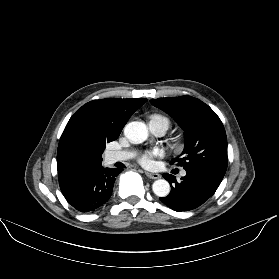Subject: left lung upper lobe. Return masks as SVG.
<instances>
[{
    "label": "left lung upper lobe",
    "instance_id": "5c2ea615",
    "mask_svg": "<svg viewBox=\"0 0 279 279\" xmlns=\"http://www.w3.org/2000/svg\"><path fill=\"white\" fill-rule=\"evenodd\" d=\"M151 104L168 113L184 130V150L171 164L202 170L222 181L228 164L227 137L217 114L191 96L152 99Z\"/></svg>",
    "mask_w": 279,
    "mask_h": 279
}]
</instances>
